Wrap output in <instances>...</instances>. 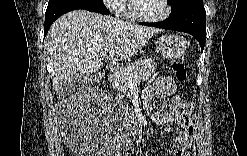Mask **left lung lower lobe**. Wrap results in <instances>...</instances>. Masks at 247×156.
<instances>
[{
    "instance_id": "0a47b994",
    "label": "left lung lower lobe",
    "mask_w": 247,
    "mask_h": 156,
    "mask_svg": "<svg viewBox=\"0 0 247 156\" xmlns=\"http://www.w3.org/2000/svg\"><path fill=\"white\" fill-rule=\"evenodd\" d=\"M162 29L186 32L194 36L203 51L206 43V11L202 0H194L185 9L168 19L156 23H140Z\"/></svg>"
}]
</instances>
